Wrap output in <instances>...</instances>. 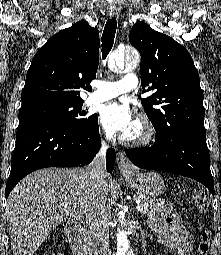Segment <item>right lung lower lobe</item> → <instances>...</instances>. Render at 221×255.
Segmentation results:
<instances>
[{
  "instance_id": "1",
  "label": "right lung lower lobe",
  "mask_w": 221,
  "mask_h": 255,
  "mask_svg": "<svg viewBox=\"0 0 221 255\" xmlns=\"http://www.w3.org/2000/svg\"><path fill=\"white\" fill-rule=\"evenodd\" d=\"M101 146L98 118L83 128H70L41 118H22L16 132L11 171L6 184L7 198L27 174L46 167H78L89 164ZM115 150L106 154V168L112 172Z\"/></svg>"
}]
</instances>
